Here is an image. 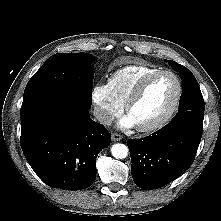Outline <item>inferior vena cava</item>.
Wrapping results in <instances>:
<instances>
[{"label":"inferior vena cava","mask_w":221,"mask_h":221,"mask_svg":"<svg viewBox=\"0 0 221 221\" xmlns=\"http://www.w3.org/2000/svg\"><path fill=\"white\" fill-rule=\"evenodd\" d=\"M94 117L104 125H110L113 121V116H111L107 111L100 107H95L93 110Z\"/></svg>","instance_id":"1"}]
</instances>
